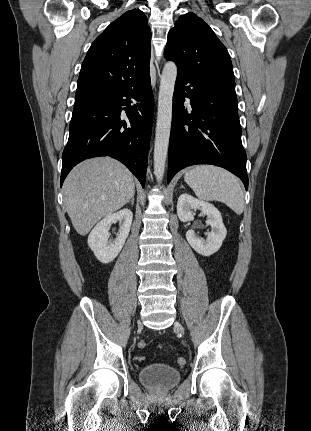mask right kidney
Returning <instances> with one entry per match:
<instances>
[{"label": "right kidney", "mask_w": 311, "mask_h": 431, "mask_svg": "<svg viewBox=\"0 0 311 431\" xmlns=\"http://www.w3.org/2000/svg\"><path fill=\"white\" fill-rule=\"evenodd\" d=\"M133 219V214L131 210H120L116 214H109V216L103 217L92 231L88 235V245L94 251L97 259L102 261V263H109L113 261L119 251H121L125 239H127ZM120 221L118 237L115 239H109V229L111 223H116Z\"/></svg>", "instance_id": "ca27d5eb"}]
</instances>
